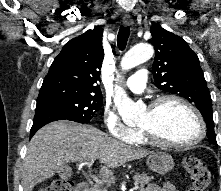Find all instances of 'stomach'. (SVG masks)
I'll use <instances>...</instances> for the list:
<instances>
[{"instance_id": "obj_1", "label": "stomach", "mask_w": 221, "mask_h": 191, "mask_svg": "<svg viewBox=\"0 0 221 191\" xmlns=\"http://www.w3.org/2000/svg\"><path fill=\"white\" fill-rule=\"evenodd\" d=\"M146 164L153 172L165 174L172 170L174 161L172 156L160 151L151 153L146 160Z\"/></svg>"}]
</instances>
